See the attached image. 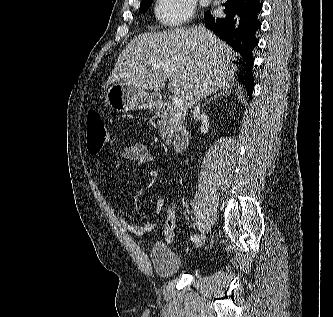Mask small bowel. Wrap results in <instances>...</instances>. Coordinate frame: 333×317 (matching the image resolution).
I'll use <instances>...</instances> for the list:
<instances>
[{
    "instance_id": "small-bowel-1",
    "label": "small bowel",
    "mask_w": 333,
    "mask_h": 317,
    "mask_svg": "<svg viewBox=\"0 0 333 317\" xmlns=\"http://www.w3.org/2000/svg\"><path fill=\"white\" fill-rule=\"evenodd\" d=\"M153 161V156L149 152L147 146L143 143H133L131 145L125 146L120 152V156L115 163V169H120L123 166L129 164H143L150 163ZM165 207V200L163 197H159L153 209V219L142 225H135L124 218H121V226L128 232L134 235H145L154 231L157 226V218Z\"/></svg>"
}]
</instances>
